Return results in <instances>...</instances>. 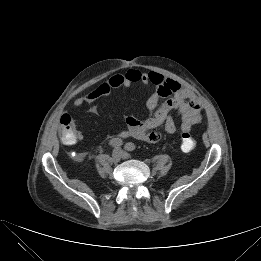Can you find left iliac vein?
<instances>
[{
	"mask_svg": "<svg viewBox=\"0 0 261 261\" xmlns=\"http://www.w3.org/2000/svg\"><path fill=\"white\" fill-rule=\"evenodd\" d=\"M128 157H129V154H127V153H122V158L126 159V158H128Z\"/></svg>",
	"mask_w": 261,
	"mask_h": 261,
	"instance_id": "left-iliac-vein-1",
	"label": "left iliac vein"
}]
</instances>
